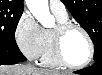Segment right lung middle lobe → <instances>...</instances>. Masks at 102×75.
<instances>
[{
  "instance_id": "1",
  "label": "right lung middle lobe",
  "mask_w": 102,
  "mask_h": 75,
  "mask_svg": "<svg viewBox=\"0 0 102 75\" xmlns=\"http://www.w3.org/2000/svg\"><path fill=\"white\" fill-rule=\"evenodd\" d=\"M23 9L0 6V46L17 47L15 30Z\"/></svg>"
}]
</instances>
